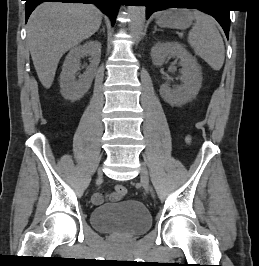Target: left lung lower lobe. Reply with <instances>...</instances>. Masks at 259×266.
Masks as SVG:
<instances>
[{
	"mask_svg": "<svg viewBox=\"0 0 259 266\" xmlns=\"http://www.w3.org/2000/svg\"><path fill=\"white\" fill-rule=\"evenodd\" d=\"M140 2L146 6L147 19L153 12L165 8H179L182 7L181 5L200 6L197 9L212 15L222 26L226 36H229L230 11L228 9L214 8L208 5L217 2L215 0H194L193 2H189L188 0H140Z\"/></svg>",
	"mask_w": 259,
	"mask_h": 266,
	"instance_id": "0a47b994",
	"label": "left lung lower lobe"
}]
</instances>
